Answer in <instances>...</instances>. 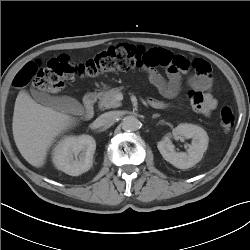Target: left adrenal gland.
<instances>
[{
  "mask_svg": "<svg viewBox=\"0 0 250 250\" xmlns=\"http://www.w3.org/2000/svg\"><path fill=\"white\" fill-rule=\"evenodd\" d=\"M159 116H160L159 114H153L152 118H157Z\"/></svg>",
  "mask_w": 250,
  "mask_h": 250,
  "instance_id": "a2214340",
  "label": "left adrenal gland"
}]
</instances>
